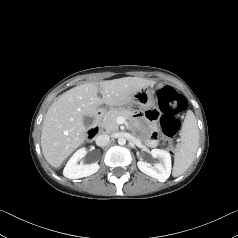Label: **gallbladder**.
Instances as JSON below:
<instances>
[{
    "label": "gallbladder",
    "mask_w": 238,
    "mask_h": 238,
    "mask_svg": "<svg viewBox=\"0 0 238 238\" xmlns=\"http://www.w3.org/2000/svg\"><path fill=\"white\" fill-rule=\"evenodd\" d=\"M92 123H93V118L92 117L85 116L83 118V124H84L85 127H87V128L90 127L92 125Z\"/></svg>",
    "instance_id": "1"
}]
</instances>
